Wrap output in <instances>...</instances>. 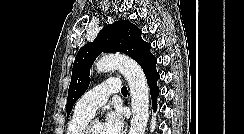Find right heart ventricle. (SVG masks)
Listing matches in <instances>:
<instances>
[{
  "label": "right heart ventricle",
  "mask_w": 244,
  "mask_h": 134,
  "mask_svg": "<svg viewBox=\"0 0 244 134\" xmlns=\"http://www.w3.org/2000/svg\"><path fill=\"white\" fill-rule=\"evenodd\" d=\"M90 119V116L75 111L67 124L66 134H82Z\"/></svg>",
  "instance_id": "e07e8e85"
}]
</instances>
